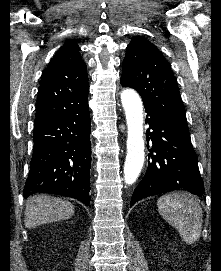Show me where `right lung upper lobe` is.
I'll return each mask as SVG.
<instances>
[{
    "instance_id": "right-lung-upper-lobe-1",
    "label": "right lung upper lobe",
    "mask_w": 221,
    "mask_h": 271,
    "mask_svg": "<svg viewBox=\"0 0 221 271\" xmlns=\"http://www.w3.org/2000/svg\"><path fill=\"white\" fill-rule=\"evenodd\" d=\"M75 41L65 43L42 73L35 125L88 107V75Z\"/></svg>"
}]
</instances>
